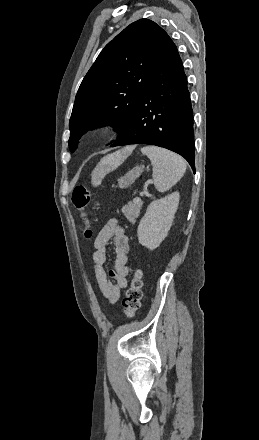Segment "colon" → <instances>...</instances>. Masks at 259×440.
Instances as JSON below:
<instances>
[{"label":"colon","mask_w":259,"mask_h":440,"mask_svg":"<svg viewBox=\"0 0 259 440\" xmlns=\"http://www.w3.org/2000/svg\"><path fill=\"white\" fill-rule=\"evenodd\" d=\"M91 194L84 185H76L71 192V201L75 209L80 213L82 218V230L86 238L92 237L90 222L86 213L87 206L90 202ZM142 273L136 270L133 274L130 287L126 291L123 299L124 313L128 318H132L140 308L142 299Z\"/></svg>","instance_id":"colon-1"}]
</instances>
